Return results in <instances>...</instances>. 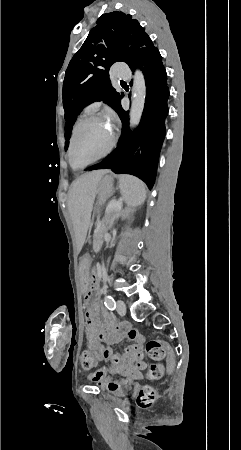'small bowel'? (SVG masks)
Instances as JSON below:
<instances>
[{
  "label": "small bowel",
  "mask_w": 241,
  "mask_h": 450,
  "mask_svg": "<svg viewBox=\"0 0 241 450\" xmlns=\"http://www.w3.org/2000/svg\"><path fill=\"white\" fill-rule=\"evenodd\" d=\"M84 311L87 325H100L102 318L93 316L99 305L97 298H84ZM123 340L133 343L126 346L121 353H114L112 347ZM145 337L129 324H124L118 332L117 324H106L104 331L88 330L87 347L94 349L95 359L109 362L104 369L90 373L88 378L99 387L109 392H122L125 387L142 379L141 371L145 368L143 347ZM120 378H114V376Z\"/></svg>",
  "instance_id": "obj_1"
}]
</instances>
